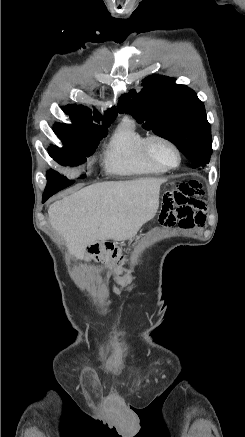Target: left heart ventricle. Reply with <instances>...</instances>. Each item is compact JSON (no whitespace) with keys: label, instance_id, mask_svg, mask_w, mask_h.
Segmentation results:
<instances>
[{"label":"left heart ventricle","instance_id":"b2bd125f","mask_svg":"<svg viewBox=\"0 0 245 437\" xmlns=\"http://www.w3.org/2000/svg\"><path fill=\"white\" fill-rule=\"evenodd\" d=\"M152 151L157 158L168 165H175L177 163V155L175 151L164 143H154L152 145Z\"/></svg>","mask_w":245,"mask_h":437}]
</instances>
